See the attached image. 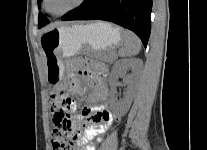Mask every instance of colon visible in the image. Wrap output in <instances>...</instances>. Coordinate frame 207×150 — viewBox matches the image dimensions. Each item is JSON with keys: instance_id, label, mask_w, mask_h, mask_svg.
Instances as JSON below:
<instances>
[{"instance_id": "5ec220e1", "label": "colon", "mask_w": 207, "mask_h": 150, "mask_svg": "<svg viewBox=\"0 0 207 150\" xmlns=\"http://www.w3.org/2000/svg\"><path fill=\"white\" fill-rule=\"evenodd\" d=\"M51 101V124L55 125L51 138L52 150H78L76 145L77 134L71 133L72 122L68 111L70 101L66 92L53 93Z\"/></svg>"}]
</instances>
